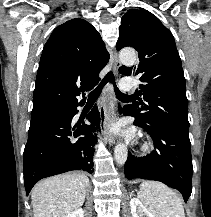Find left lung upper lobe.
Returning <instances> with one entry per match:
<instances>
[{
    "label": "left lung upper lobe",
    "instance_id": "obj_1",
    "mask_svg": "<svg viewBox=\"0 0 211 217\" xmlns=\"http://www.w3.org/2000/svg\"><path fill=\"white\" fill-rule=\"evenodd\" d=\"M127 46L138 51L139 62L119 71L138 76L142 84L136 92L143 95V100L127 106L131 115L144 126L165 125L188 134L186 84L172 33L149 11L128 10L116 49Z\"/></svg>",
    "mask_w": 211,
    "mask_h": 217
}]
</instances>
